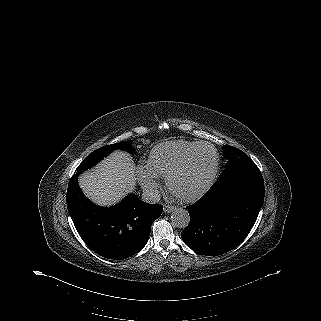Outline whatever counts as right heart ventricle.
I'll list each match as a JSON object with an SVG mask.
<instances>
[{
    "mask_svg": "<svg viewBox=\"0 0 321 321\" xmlns=\"http://www.w3.org/2000/svg\"><path fill=\"white\" fill-rule=\"evenodd\" d=\"M198 142L169 141L163 142L150 151L147 165L156 177H165L167 173L178 164Z\"/></svg>",
    "mask_w": 321,
    "mask_h": 321,
    "instance_id": "1",
    "label": "right heart ventricle"
}]
</instances>
